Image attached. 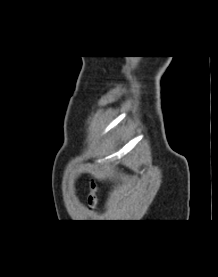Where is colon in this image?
Wrapping results in <instances>:
<instances>
[{
  "label": "colon",
  "instance_id": "5ec220e1",
  "mask_svg": "<svg viewBox=\"0 0 218 277\" xmlns=\"http://www.w3.org/2000/svg\"><path fill=\"white\" fill-rule=\"evenodd\" d=\"M99 188L95 181H91L89 185V191L87 195L88 205L90 210H93L98 203Z\"/></svg>",
  "mask_w": 218,
  "mask_h": 277
}]
</instances>
